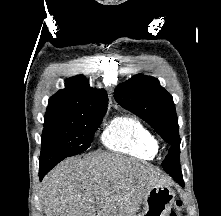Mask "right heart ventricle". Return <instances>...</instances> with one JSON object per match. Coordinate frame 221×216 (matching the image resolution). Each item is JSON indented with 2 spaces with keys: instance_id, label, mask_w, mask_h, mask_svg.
Segmentation results:
<instances>
[{
  "instance_id": "e07e8e85",
  "label": "right heart ventricle",
  "mask_w": 221,
  "mask_h": 216,
  "mask_svg": "<svg viewBox=\"0 0 221 216\" xmlns=\"http://www.w3.org/2000/svg\"><path fill=\"white\" fill-rule=\"evenodd\" d=\"M100 139L109 150L136 158L153 159L158 152L154 135L139 118L132 115L114 117Z\"/></svg>"
}]
</instances>
